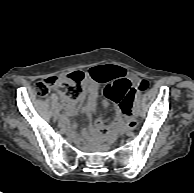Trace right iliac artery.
<instances>
[{
  "label": "right iliac artery",
  "mask_w": 194,
  "mask_h": 193,
  "mask_svg": "<svg viewBox=\"0 0 194 193\" xmlns=\"http://www.w3.org/2000/svg\"><path fill=\"white\" fill-rule=\"evenodd\" d=\"M60 117H61V116H60ZM61 118H66V115H65V114H63V116H62Z\"/></svg>",
  "instance_id": "obj_1"
}]
</instances>
